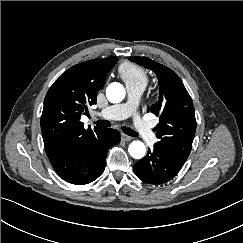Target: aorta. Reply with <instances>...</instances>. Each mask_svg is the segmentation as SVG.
Masks as SVG:
<instances>
[{
	"instance_id": "aorta-1",
	"label": "aorta",
	"mask_w": 243,
	"mask_h": 243,
	"mask_svg": "<svg viewBox=\"0 0 243 243\" xmlns=\"http://www.w3.org/2000/svg\"><path fill=\"white\" fill-rule=\"evenodd\" d=\"M106 97L111 103H119L125 97V88L120 83H111L106 89ZM128 152L133 158L141 159L146 153V147L143 142L136 140L131 142Z\"/></svg>"
}]
</instances>
